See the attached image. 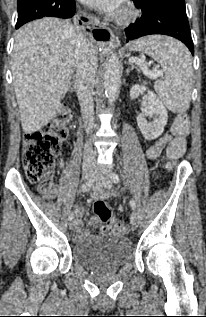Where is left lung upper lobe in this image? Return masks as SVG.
Here are the masks:
<instances>
[{
  "label": "left lung upper lobe",
  "instance_id": "5c2ea615",
  "mask_svg": "<svg viewBox=\"0 0 206 317\" xmlns=\"http://www.w3.org/2000/svg\"><path fill=\"white\" fill-rule=\"evenodd\" d=\"M133 2L136 7L141 8L166 6L185 10V0H133Z\"/></svg>",
  "mask_w": 206,
  "mask_h": 317
}]
</instances>
